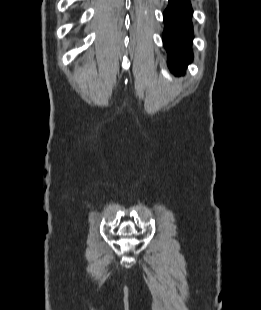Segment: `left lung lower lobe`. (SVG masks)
Listing matches in <instances>:
<instances>
[{
    "label": "left lung lower lobe",
    "instance_id": "obj_1",
    "mask_svg": "<svg viewBox=\"0 0 261 310\" xmlns=\"http://www.w3.org/2000/svg\"><path fill=\"white\" fill-rule=\"evenodd\" d=\"M190 0H169L164 12L163 43L169 54V66L176 75L184 74L192 60L193 26Z\"/></svg>",
    "mask_w": 261,
    "mask_h": 310
}]
</instances>
